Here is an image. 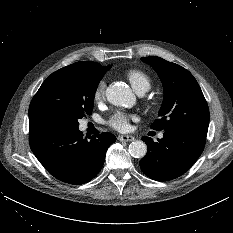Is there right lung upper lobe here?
Instances as JSON below:
<instances>
[{
  "mask_svg": "<svg viewBox=\"0 0 233 233\" xmlns=\"http://www.w3.org/2000/svg\"><path fill=\"white\" fill-rule=\"evenodd\" d=\"M66 67L88 69V70H94V71H99V72H107L111 68V66L105 67V66H101L100 64L96 62H91V61L76 62ZM29 125H34V124L29 122Z\"/></svg>",
  "mask_w": 233,
  "mask_h": 233,
  "instance_id": "cb5924a9",
  "label": "right lung upper lobe"
}]
</instances>
